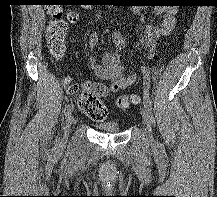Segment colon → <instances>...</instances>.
I'll list each match as a JSON object with an SVG mask.
<instances>
[{"label":"colon","instance_id":"obj_1","mask_svg":"<svg viewBox=\"0 0 217 197\" xmlns=\"http://www.w3.org/2000/svg\"><path fill=\"white\" fill-rule=\"evenodd\" d=\"M46 12L51 17L47 27L46 35L48 39V49L51 56L55 59L63 57L66 44L68 26L62 18V4L60 0H47ZM77 86L71 85L69 92L73 93ZM108 93L107 87L99 82L88 80L84 84L82 94L77 99L80 110L93 121H103L108 115V110L103 102V97ZM141 98L138 95L121 96L116 104L121 109H126L130 104L138 105Z\"/></svg>","mask_w":217,"mask_h":197}]
</instances>
